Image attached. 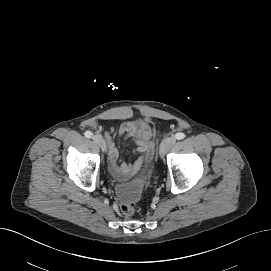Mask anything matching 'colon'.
<instances>
[{
	"label": "colon",
	"mask_w": 271,
	"mask_h": 271,
	"mask_svg": "<svg viewBox=\"0 0 271 271\" xmlns=\"http://www.w3.org/2000/svg\"><path fill=\"white\" fill-rule=\"evenodd\" d=\"M123 215L130 217L136 213V206L134 203H123L120 207Z\"/></svg>",
	"instance_id": "1"
}]
</instances>
